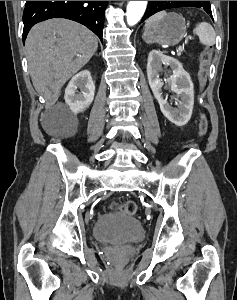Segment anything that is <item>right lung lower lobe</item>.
<instances>
[{"instance_id":"obj_1","label":"right lung lower lobe","mask_w":237,"mask_h":300,"mask_svg":"<svg viewBox=\"0 0 237 300\" xmlns=\"http://www.w3.org/2000/svg\"><path fill=\"white\" fill-rule=\"evenodd\" d=\"M106 7L107 1H26L23 13V41L34 24L56 17L85 25L102 41Z\"/></svg>"}]
</instances>
